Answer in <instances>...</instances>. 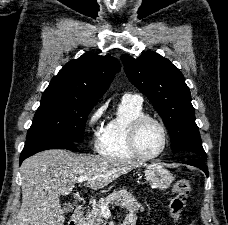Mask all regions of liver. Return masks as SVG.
I'll use <instances>...</instances> for the list:
<instances>
[{
    "label": "liver",
    "instance_id": "1",
    "mask_svg": "<svg viewBox=\"0 0 228 225\" xmlns=\"http://www.w3.org/2000/svg\"><path fill=\"white\" fill-rule=\"evenodd\" d=\"M137 167L140 163L128 159L75 155L66 149L37 153L21 165L22 205L15 225H64L60 195L71 193L78 177H97L85 183L97 191Z\"/></svg>",
    "mask_w": 228,
    "mask_h": 225
}]
</instances>
